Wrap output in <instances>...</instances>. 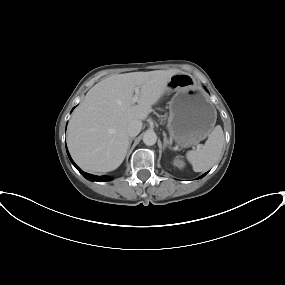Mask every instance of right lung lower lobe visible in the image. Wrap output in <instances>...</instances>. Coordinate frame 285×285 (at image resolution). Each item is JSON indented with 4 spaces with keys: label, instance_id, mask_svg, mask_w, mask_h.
Instances as JSON below:
<instances>
[{
    "label": "right lung lower lobe",
    "instance_id": "98d812e1",
    "mask_svg": "<svg viewBox=\"0 0 285 285\" xmlns=\"http://www.w3.org/2000/svg\"><path fill=\"white\" fill-rule=\"evenodd\" d=\"M67 149V148H66ZM67 154H68V157L70 159V161L72 162V164L78 169V171L88 180L90 181H110L112 180V178L108 177V176H95V175H91V174H88L86 172H83L74 162L73 160L71 159L70 155H69V152L67 150Z\"/></svg>",
    "mask_w": 285,
    "mask_h": 285
}]
</instances>
